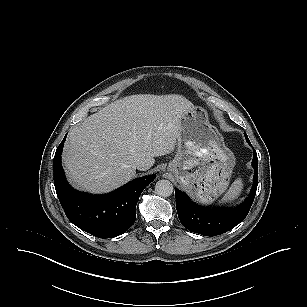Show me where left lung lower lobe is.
Here are the masks:
<instances>
[{
    "mask_svg": "<svg viewBox=\"0 0 307 307\" xmlns=\"http://www.w3.org/2000/svg\"><path fill=\"white\" fill-rule=\"evenodd\" d=\"M249 144L251 145L250 142ZM252 166L255 171L250 196L235 208L203 207L192 202L184 192L175 189L176 209L181 224L190 232L204 236H216L231 230L242 222L251 208L258 185V158L255 150Z\"/></svg>",
    "mask_w": 307,
    "mask_h": 307,
    "instance_id": "obj_1",
    "label": "left lung lower lobe"
}]
</instances>
